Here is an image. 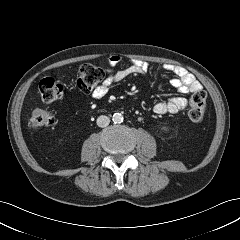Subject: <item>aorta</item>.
I'll use <instances>...</instances> for the list:
<instances>
[{
  "label": "aorta",
  "instance_id": "762f6f07",
  "mask_svg": "<svg viewBox=\"0 0 240 240\" xmlns=\"http://www.w3.org/2000/svg\"><path fill=\"white\" fill-rule=\"evenodd\" d=\"M112 120L115 124H119L123 122V115L121 113H114L112 116Z\"/></svg>",
  "mask_w": 240,
  "mask_h": 240
}]
</instances>
